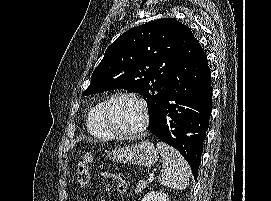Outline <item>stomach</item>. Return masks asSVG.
I'll return each instance as SVG.
<instances>
[{"mask_svg": "<svg viewBox=\"0 0 271 201\" xmlns=\"http://www.w3.org/2000/svg\"><path fill=\"white\" fill-rule=\"evenodd\" d=\"M107 157L117 163L138 166H152L159 158L158 150L148 140L138 144L119 147L107 152Z\"/></svg>", "mask_w": 271, "mask_h": 201, "instance_id": "obj_1", "label": "stomach"}]
</instances>
